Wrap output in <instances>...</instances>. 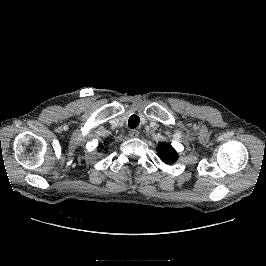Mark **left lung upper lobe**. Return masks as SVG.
Wrapping results in <instances>:
<instances>
[{
    "label": "left lung upper lobe",
    "instance_id": "left-lung-upper-lobe-1",
    "mask_svg": "<svg viewBox=\"0 0 266 266\" xmlns=\"http://www.w3.org/2000/svg\"><path fill=\"white\" fill-rule=\"evenodd\" d=\"M157 152L160 159L166 164L174 163L178 158L177 152L167 143H160Z\"/></svg>",
    "mask_w": 266,
    "mask_h": 266
}]
</instances>
